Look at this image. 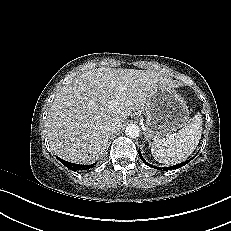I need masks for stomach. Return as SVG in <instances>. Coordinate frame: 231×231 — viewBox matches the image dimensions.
I'll use <instances>...</instances> for the list:
<instances>
[{"label":"stomach","mask_w":231,"mask_h":231,"mask_svg":"<svg viewBox=\"0 0 231 231\" xmlns=\"http://www.w3.org/2000/svg\"><path fill=\"white\" fill-rule=\"evenodd\" d=\"M144 112L147 139L156 140L168 136L190 120L187 103L174 88L159 87L149 98Z\"/></svg>","instance_id":"0dacf381"}]
</instances>
